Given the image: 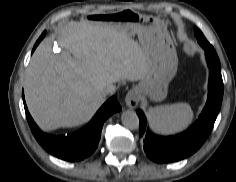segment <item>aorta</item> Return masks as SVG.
<instances>
[{
	"instance_id": "1",
	"label": "aorta",
	"mask_w": 236,
	"mask_h": 182,
	"mask_svg": "<svg viewBox=\"0 0 236 182\" xmlns=\"http://www.w3.org/2000/svg\"><path fill=\"white\" fill-rule=\"evenodd\" d=\"M122 124L130 129L137 130L139 128V117L136 112L132 110L124 111L121 115Z\"/></svg>"
}]
</instances>
